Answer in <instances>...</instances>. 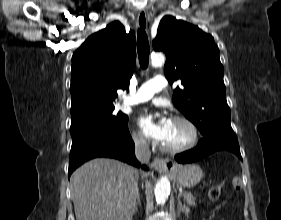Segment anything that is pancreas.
Masks as SVG:
<instances>
[{
    "label": "pancreas",
    "instance_id": "1",
    "mask_svg": "<svg viewBox=\"0 0 281 220\" xmlns=\"http://www.w3.org/2000/svg\"><path fill=\"white\" fill-rule=\"evenodd\" d=\"M183 197H184V200L188 203V205H190V206L196 205V199L191 193L184 192Z\"/></svg>",
    "mask_w": 281,
    "mask_h": 220
}]
</instances>
